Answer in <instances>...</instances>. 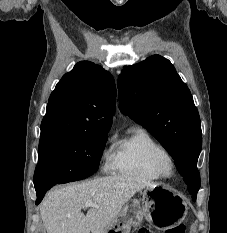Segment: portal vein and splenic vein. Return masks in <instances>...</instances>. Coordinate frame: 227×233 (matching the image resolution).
<instances>
[{"mask_svg":"<svg viewBox=\"0 0 227 233\" xmlns=\"http://www.w3.org/2000/svg\"><path fill=\"white\" fill-rule=\"evenodd\" d=\"M84 207H95V208H99V206L97 204H95L94 202H86Z\"/></svg>","mask_w":227,"mask_h":233,"instance_id":"portal-vein-and-splenic-vein-1","label":"portal vein and splenic vein"}]
</instances>
